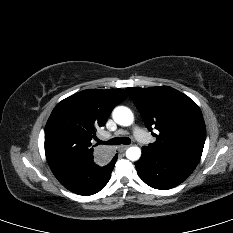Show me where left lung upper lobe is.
Returning <instances> with one entry per match:
<instances>
[{
    "mask_svg": "<svg viewBox=\"0 0 233 233\" xmlns=\"http://www.w3.org/2000/svg\"><path fill=\"white\" fill-rule=\"evenodd\" d=\"M146 126L157 140L146 146L156 152L202 155L206 128L200 108L185 94L168 87L127 88Z\"/></svg>",
    "mask_w": 233,
    "mask_h": 233,
    "instance_id": "left-lung-upper-lobe-1",
    "label": "left lung upper lobe"
}]
</instances>
